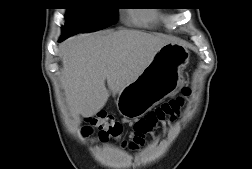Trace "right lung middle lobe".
<instances>
[{"label":"right lung middle lobe","instance_id":"1","mask_svg":"<svg viewBox=\"0 0 252 169\" xmlns=\"http://www.w3.org/2000/svg\"><path fill=\"white\" fill-rule=\"evenodd\" d=\"M113 0H67L66 23L63 37L81 32H92L114 24L117 20V8Z\"/></svg>","mask_w":252,"mask_h":169}]
</instances>
